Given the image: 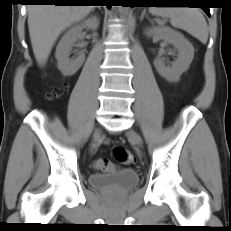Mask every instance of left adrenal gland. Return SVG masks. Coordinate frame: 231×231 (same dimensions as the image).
I'll return each instance as SVG.
<instances>
[{"label": "left adrenal gland", "instance_id": "a2214340", "mask_svg": "<svg viewBox=\"0 0 231 231\" xmlns=\"http://www.w3.org/2000/svg\"><path fill=\"white\" fill-rule=\"evenodd\" d=\"M145 16L148 18V15L146 14V10H144V11L142 12L140 21H142V20L144 19Z\"/></svg>", "mask_w": 231, "mask_h": 231}]
</instances>
